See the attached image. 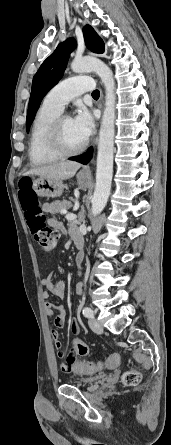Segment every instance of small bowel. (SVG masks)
<instances>
[{
	"instance_id": "c3829d8e",
	"label": "small bowel",
	"mask_w": 171,
	"mask_h": 445,
	"mask_svg": "<svg viewBox=\"0 0 171 445\" xmlns=\"http://www.w3.org/2000/svg\"><path fill=\"white\" fill-rule=\"evenodd\" d=\"M58 208L57 203H45L43 206V209L47 212H54ZM48 223L51 227H53L56 230H62L63 225L61 222L56 220L55 218H49ZM70 233L72 236L74 235H80L79 231L75 227L70 228ZM78 257V256H77ZM41 285L46 288V292L43 293V297L46 300L45 301V312L48 316H54L53 321V329L51 331V337L54 342V346L56 349V352L59 357L63 358L64 361L61 364V368L64 372H70L74 365H75V354H78L75 347L73 346V351H71L68 354H65L62 343L60 341L59 333L57 331V328H61L65 323L66 318V310L63 306H55L50 301H48L49 293H51L54 296H57L59 298H63L66 293V284L63 281L55 280L54 274H50L47 277L43 278L41 281ZM70 331L72 334L77 335L79 333V325L76 321V319L71 320V326ZM117 358L116 362L114 364H109V367L115 369L119 364V356L117 354H114Z\"/></svg>"
}]
</instances>
